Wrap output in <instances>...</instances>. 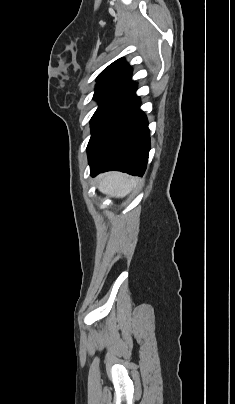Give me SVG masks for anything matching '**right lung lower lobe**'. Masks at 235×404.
Wrapping results in <instances>:
<instances>
[{"label": "right lung lower lobe", "mask_w": 235, "mask_h": 404, "mask_svg": "<svg viewBox=\"0 0 235 404\" xmlns=\"http://www.w3.org/2000/svg\"><path fill=\"white\" fill-rule=\"evenodd\" d=\"M136 87V83L129 85L92 132L87 146L92 176L109 170L138 176L145 172L150 138Z\"/></svg>", "instance_id": "98d812e1"}]
</instances>
